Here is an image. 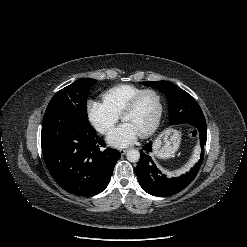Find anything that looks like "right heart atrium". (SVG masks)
<instances>
[{
  "mask_svg": "<svg viewBox=\"0 0 247 247\" xmlns=\"http://www.w3.org/2000/svg\"><path fill=\"white\" fill-rule=\"evenodd\" d=\"M86 115L91 125L105 134L118 122L120 116L103 101L90 99L86 103Z\"/></svg>",
  "mask_w": 247,
  "mask_h": 247,
  "instance_id": "1",
  "label": "right heart atrium"
}]
</instances>
